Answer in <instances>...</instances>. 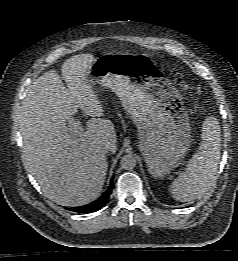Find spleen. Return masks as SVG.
Wrapping results in <instances>:
<instances>
[{"label":"spleen","instance_id":"3e777b00","mask_svg":"<svg viewBox=\"0 0 238 261\" xmlns=\"http://www.w3.org/2000/svg\"><path fill=\"white\" fill-rule=\"evenodd\" d=\"M201 136L202 142L185 172L171 184L170 193L177 201L200 199L214 183L221 154V128L215 117L205 119Z\"/></svg>","mask_w":238,"mask_h":261}]
</instances>
